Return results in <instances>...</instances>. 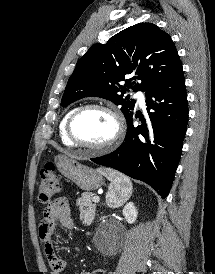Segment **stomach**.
<instances>
[{"instance_id": "0dacf381", "label": "stomach", "mask_w": 215, "mask_h": 274, "mask_svg": "<svg viewBox=\"0 0 215 274\" xmlns=\"http://www.w3.org/2000/svg\"><path fill=\"white\" fill-rule=\"evenodd\" d=\"M55 163L62 175L73 181L84 191L97 190L104 185L103 176L98 170L84 166L75 159L64 155H58L55 158ZM129 197H125V199H128ZM125 201L126 200H124L122 204Z\"/></svg>"}]
</instances>
